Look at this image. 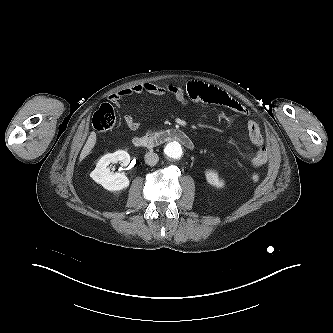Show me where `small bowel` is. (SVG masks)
<instances>
[{"label": "small bowel", "instance_id": "small-bowel-1", "mask_svg": "<svg viewBox=\"0 0 333 333\" xmlns=\"http://www.w3.org/2000/svg\"><path fill=\"white\" fill-rule=\"evenodd\" d=\"M139 94L173 97L184 106H189L193 103L219 105L247 117L248 135L252 144L257 148L253 155L247 156V159L255 168L263 166L268 161V148L258 123L250 116L249 110L243 104L230 97L225 91L196 81L189 82L185 88L181 86H161L154 83H141L113 93L110 96V100L120 108L121 102L124 99ZM124 122L131 131H136L140 127V122L130 114L124 115Z\"/></svg>", "mask_w": 333, "mask_h": 333}]
</instances>
